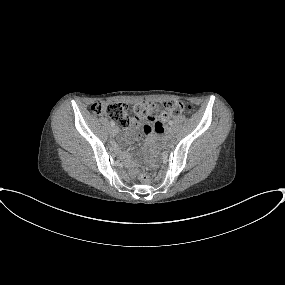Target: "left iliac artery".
Returning <instances> with one entry per match:
<instances>
[{
    "instance_id": "obj_1",
    "label": "left iliac artery",
    "mask_w": 285,
    "mask_h": 285,
    "mask_svg": "<svg viewBox=\"0 0 285 285\" xmlns=\"http://www.w3.org/2000/svg\"><path fill=\"white\" fill-rule=\"evenodd\" d=\"M168 124H169V125H172V124H173V122L170 120V121L168 122Z\"/></svg>"
}]
</instances>
